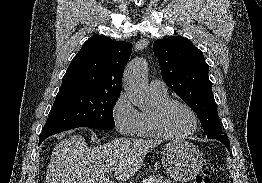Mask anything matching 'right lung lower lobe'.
Returning <instances> with one entry per match:
<instances>
[{
	"mask_svg": "<svg viewBox=\"0 0 262 183\" xmlns=\"http://www.w3.org/2000/svg\"><path fill=\"white\" fill-rule=\"evenodd\" d=\"M53 135L52 133H45L40 135L39 145L49 136Z\"/></svg>",
	"mask_w": 262,
	"mask_h": 183,
	"instance_id": "right-lung-lower-lobe-1",
	"label": "right lung lower lobe"
}]
</instances>
